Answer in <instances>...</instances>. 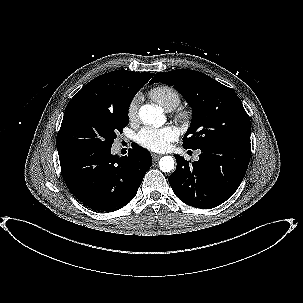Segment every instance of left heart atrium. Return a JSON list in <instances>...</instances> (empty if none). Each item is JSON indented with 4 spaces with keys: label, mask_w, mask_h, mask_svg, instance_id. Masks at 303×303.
<instances>
[{
    "label": "left heart atrium",
    "mask_w": 303,
    "mask_h": 303,
    "mask_svg": "<svg viewBox=\"0 0 303 303\" xmlns=\"http://www.w3.org/2000/svg\"><path fill=\"white\" fill-rule=\"evenodd\" d=\"M179 136V131L172 125L160 128L144 127L136 135V142L143 148L154 152L166 151Z\"/></svg>",
    "instance_id": "39dd6f15"
}]
</instances>
